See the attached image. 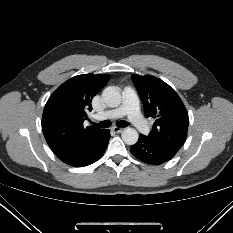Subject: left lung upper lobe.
<instances>
[{
	"label": "left lung upper lobe",
	"instance_id": "left-lung-upper-lobe-1",
	"mask_svg": "<svg viewBox=\"0 0 233 233\" xmlns=\"http://www.w3.org/2000/svg\"><path fill=\"white\" fill-rule=\"evenodd\" d=\"M146 117L156 119L146 138L154 145L177 152L187 137L189 118L178 94L162 80L132 75Z\"/></svg>",
	"mask_w": 233,
	"mask_h": 233
}]
</instances>
